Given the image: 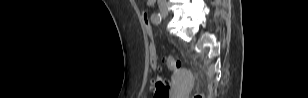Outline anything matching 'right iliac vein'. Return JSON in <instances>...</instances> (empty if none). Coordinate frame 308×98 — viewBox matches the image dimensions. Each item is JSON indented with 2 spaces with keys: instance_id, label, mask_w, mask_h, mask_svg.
<instances>
[{
  "instance_id": "63e3f726",
  "label": "right iliac vein",
  "mask_w": 308,
  "mask_h": 98,
  "mask_svg": "<svg viewBox=\"0 0 308 98\" xmlns=\"http://www.w3.org/2000/svg\"><path fill=\"white\" fill-rule=\"evenodd\" d=\"M159 10H160V13H161V15L163 17H167L168 16L169 10H168L167 6H165V5L160 6Z\"/></svg>"
}]
</instances>
